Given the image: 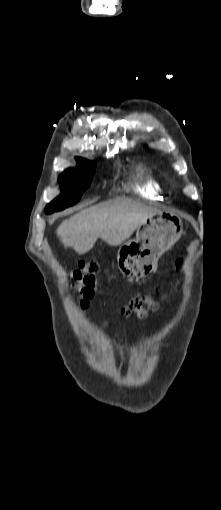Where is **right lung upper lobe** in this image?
Listing matches in <instances>:
<instances>
[{
    "mask_svg": "<svg viewBox=\"0 0 221 510\" xmlns=\"http://www.w3.org/2000/svg\"><path fill=\"white\" fill-rule=\"evenodd\" d=\"M79 162V166L83 165L84 163L88 162L87 160H82L81 158H76Z\"/></svg>",
    "mask_w": 221,
    "mask_h": 510,
    "instance_id": "right-lung-upper-lobe-1",
    "label": "right lung upper lobe"
}]
</instances>
